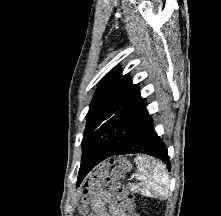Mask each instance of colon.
<instances>
[{
    "instance_id": "1",
    "label": "colon",
    "mask_w": 221,
    "mask_h": 216,
    "mask_svg": "<svg viewBox=\"0 0 221 216\" xmlns=\"http://www.w3.org/2000/svg\"><path fill=\"white\" fill-rule=\"evenodd\" d=\"M117 169L110 172L112 163H106L95 170L91 176V182L83 191L81 210L85 211L93 206L99 199L100 184L106 180L109 195L115 199L116 205L119 207L123 216H135L133 201L134 197L118 184L115 177L123 173L127 168L125 161L117 162Z\"/></svg>"
}]
</instances>
